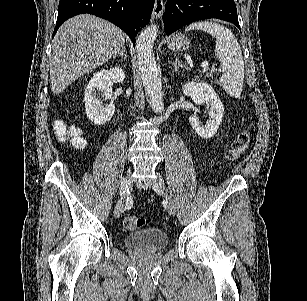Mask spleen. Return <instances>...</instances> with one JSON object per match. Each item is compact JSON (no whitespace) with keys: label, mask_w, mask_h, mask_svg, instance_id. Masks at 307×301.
Wrapping results in <instances>:
<instances>
[{"label":"spleen","mask_w":307,"mask_h":301,"mask_svg":"<svg viewBox=\"0 0 307 301\" xmlns=\"http://www.w3.org/2000/svg\"><path fill=\"white\" fill-rule=\"evenodd\" d=\"M195 28L205 30L215 36V56L220 60L223 72L220 86L229 96L239 98L244 84V60L235 34L223 24H218L213 20L192 22L186 26L185 30H195Z\"/></svg>","instance_id":"spleen-1"}]
</instances>
